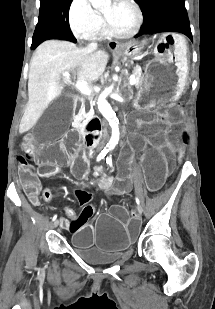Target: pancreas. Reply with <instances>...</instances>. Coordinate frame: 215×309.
<instances>
[{
	"label": "pancreas",
	"mask_w": 215,
	"mask_h": 309,
	"mask_svg": "<svg viewBox=\"0 0 215 309\" xmlns=\"http://www.w3.org/2000/svg\"><path fill=\"white\" fill-rule=\"evenodd\" d=\"M132 74H134L136 78L135 86L136 88H138V86H141V84H143L144 80V76H142V70L134 68V70H132ZM128 90H132L131 84H128ZM80 114H83L84 118H87V120H89V118H92L94 114V108L92 102L90 104V110H88V112H85V110H81Z\"/></svg>",
	"instance_id": "1"
}]
</instances>
